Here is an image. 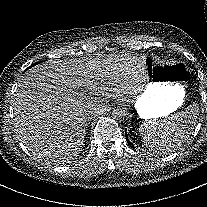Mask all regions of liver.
I'll list each match as a JSON object with an SVG mask.
<instances>
[{"label": "liver", "mask_w": 207, "mask_h": 207, "mask_svg": "<svg viewBox=\"0 0 207 207\" xmlns=\"http://www.w3.org/2000/svg\"><path fill=\"white\" fill-rule=\"evenodd\" d=\"M90 64L35 66L24 74L13 98L14 130L30 152L37 148L58 154L80 152L87 118L97 110L85 95V85L96 87Z\"/></svg>", "instance_id": "6515ba94"}]
</instances>
